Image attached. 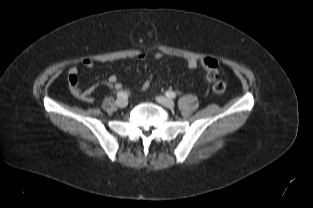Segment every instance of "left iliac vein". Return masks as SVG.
<instances>
[{"mask_svg":"<svg viewBox=\"0 0 313 208\" xmlns=\"http://www.w3.org/2000/svg\"><path fill=\"white\" fill-rule=\"evenodd\" d=\"M156 101L162 106L169 108V109H172L175 106L174 102L165 96H158L156 98Z\"/></svg>","mask_w":313,"mask_h":208,"instance_id":"4c4485c4","label":"left iliac vein"}]
</instances>
